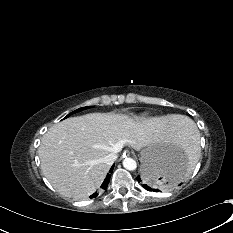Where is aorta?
Returning <instances> with one entry per match:
<instances>
[{
	"label": "aorta",
	"mask_w": 233,
	"mask_h": 233,
	"mask_svg": "<svg viewBox=\"0 0 233 233\" xmlns=\"http://www.w3.org/2000/svg\"><path fill=\"white\" fill-rule=\"evenodd\" d=\"M122 164L125 169L130 170V171L135 170L137 167L136 161L132 158H125Z\"/></svg>",
	"instance_id": "aorta-1"
}]
</instances>
